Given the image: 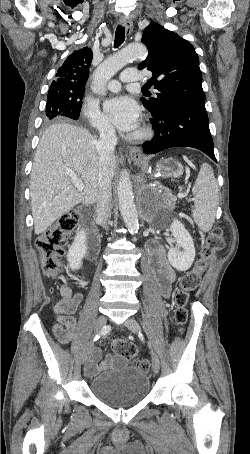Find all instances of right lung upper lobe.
I'll use <instances>...</instances> for the list:
<instances>
[{
  "label": "right lung upper lobe",
  "instance_id": "obj_1",
  "mask_svg": "<svg viewBox=\"0 0 250 454\" xmlns=\"http://www.w3.org/2000/svg\"><path fill=\"white\" fill-rule=\"evenodd\" d=\"M92 58V51L88 47L75 50L59 67L57 79L51 83L49 91L71 96L85 91Z\"/></svg>",
  "mask_w": 250,
  "mask_h": 454
}]
</instances>
